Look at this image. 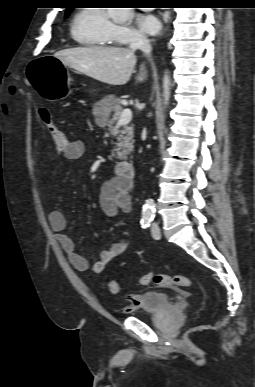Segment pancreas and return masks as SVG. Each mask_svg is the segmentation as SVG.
Listing matches in <instances>:
<instances>
[{
	"label": "pancreas",
	"instance_id": "1",
	"mask_svg": "<svg viewBox=\"0 0 255 387\" xmlns=\"http://www.w3.org/2000/svg\"><path fill=\"white\" fill-rule=\"evenodd\" d=\"M97 105H106V108L99 112V115L103 116V125H107L110 130L113 129V125L118 121L122 114V106L120 101L116 98L115 95H109L102 99ZM113 111L114 114L110 118V112ZM117 136V143L115 148L112 150V156L116 159H126L127 155L133 151V126L132 125H123L122 129L115 132Z\"/></svg>",
	"mask_w": 255,
	"mask_h": 387
}]
</instances>
